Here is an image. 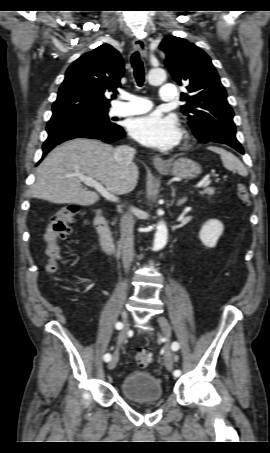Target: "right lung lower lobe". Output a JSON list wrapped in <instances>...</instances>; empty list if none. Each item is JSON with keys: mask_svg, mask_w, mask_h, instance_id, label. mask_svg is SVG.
<instances>
[{"mask_svg": "<svg viewBox=\"0 0 270 453\" xmlns=\"http://www.w3.org/2000/svg\"><path fill=\"white\" fill-rule=\"evenodd\" d=\"M46 130L48 138L43 144L42 158L56 145L66 140L84 137L111 143L125 136L122 127L114 123L104 126L77 120H50Z\"/></svg>", "mask_w": 270, "mask_h": 453, "instance_id": "obj_1", "label": "right lung lower lobe"}]
</instances>
